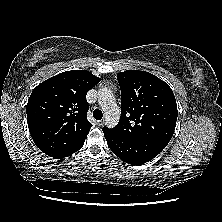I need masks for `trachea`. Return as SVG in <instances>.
Returning <instances> with one entry per match:
<instances>
[{"mask_svg": "<svg viewBox=\"0 0 222 222\" xmlns=\"http://www.w3.org/2000/svg\"><path fill=\"white\" fill-rule=\"evenodd\" d=\"M93 117H94L96 120H101L102 117H103L102 111L99 110V109H95V110L93 111Z\"/></svg>", "mask_w": 222, "mask_h": 222, "instance_id": "obj_1", "label": "trachea"}]
</instances>
